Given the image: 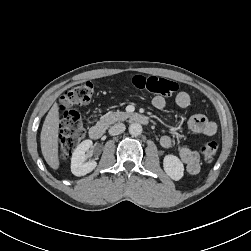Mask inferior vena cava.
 I'll list each match as a JSON object with an SVG mask.
<instances>
[{
    "label": "inferior vena cava",
    "instance_id": "602c4592",
    "mask_svg": "<svg viewBox=\"0 0 251 251\" xmlns=\"http://www.w3.org/2000/svg\"><path fill=\"white\" fill-rule=\"evenodd\" d=\"M126 127L123 123H117L109 129L111 136L119 135L125 131Z\"/></svg>",
    "mask_w": 251,
    "mask_h": 251
}]
</instances>
